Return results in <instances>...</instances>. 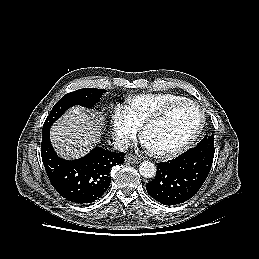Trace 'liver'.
<instances>
[{
  "label": "liver",
  "mask_w": 259,
  "mask_h": 259,
  "mask_svg": "<svg viewBox=\"0 0 259 259\" xmlns=\"http://www.w3.org/2000/svg\"><path fill=\"white\" fill-rule=\"evenodd\" d=\"M101 127V118L82 107H74L51 128V141L65 159L80 158L100 142Z\"/></svg>",
  "instance_id": "6515ba94"
}]
</instances>
